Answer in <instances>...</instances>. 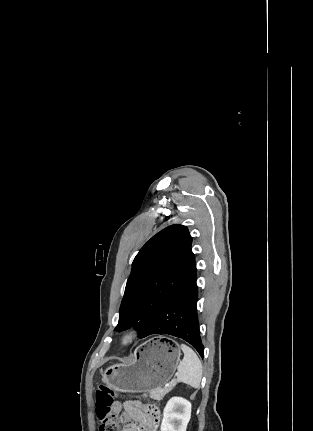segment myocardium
Listing matches in <instances>:
<instances>
[{"instance_id": "obj_1", "label": "myocardium", "mask_w": 313, "mask_h": 431, "mask_svg": "<svg viewBox=\"0 0 313 431\" xmlns=\"http://www.w3.org/2000/svg\"><path fill=\"white\" fill-rule=\"evenodd\" d=\"M137 336L138 331L135 328H129L121 334L119 338V343L121 346L127 347L136 340Z\"/></svg>"}]
</instances>
